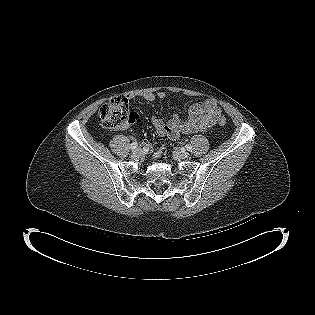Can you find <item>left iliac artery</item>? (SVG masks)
<instances>
[{
	"label": "left iliac artery",
	"instance_id": "1",
	"mask_svg": "<svg viewBox=\"0 0 315 315\" xmlns=\"http://www.w3.org/2000/svg\"><path fill=\"white\" fill-rule=\"evenodd\" d=\"M185 147H186V149H187L188 151H190V150L192 149V146H191L190 144H187Z\"/></svg>",
	"mask_w": 315,
	"mask_h": 315
}]
</instances>
